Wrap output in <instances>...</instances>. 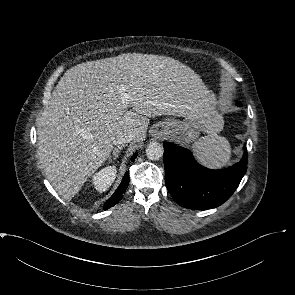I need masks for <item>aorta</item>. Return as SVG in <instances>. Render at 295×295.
I'll use <instances>...</instances> for the list:
<instances>
[{"mask_svg": "<svg viewBox=\"0 0 295 295\" xmlns=\"http://www.w3.org/2000/svg\"><path fill=\"white\" fill-rule=\"evenodd\" d=\"M163 146L158 142H151L146 148L147 158L150 160H158L163 156Z\"/></svg>", "mask_w": 295, "mask_h": 295, "instance_id": "obj_1", "label": "aorta"}]
</instances>
